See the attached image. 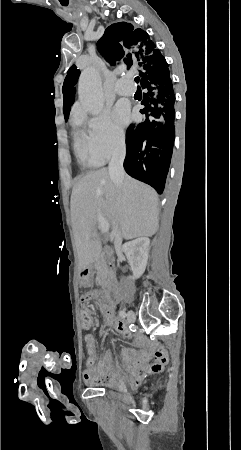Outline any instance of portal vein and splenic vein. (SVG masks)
Wrapping results in <instances>:
<instances>
[{
	"mask_svg": "<svg viewBox=\"0 0 241 450\" xmlns=\"http://www.w3.org/2000/svg\"><path fill=\"white\" fill-rule=\"evenodd\" d=\"M109 228L110 226L107 222H99V230H101L102 234H104V232H108Z\"/></svg>",
	"mask_w": 241,
	"mask_h": 450,
	"instance_id": "obj_1",
	"label": "portal vein and splenic vein"
}]
</instances>
